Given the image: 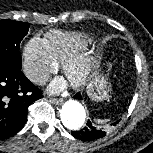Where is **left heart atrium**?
<instances>
[{
    "instance_id": "left-heart-atrium-1",
    "label": "left heart atrium",
    "mask_w": 153,
    "mask_h": 153,
    "mask_svg": "<svg viewBox=\"0 0 153 153\" xmlns=\"http://www.w3.org/2000/svg\"><path fill=\"white\" fill-rule=\"evenodd\" d=\"M64 87H65V82L61 79H57L52 82L49 89L51 92L57 93V92L62 91Z\"/></svg>"
}]
</instances>
